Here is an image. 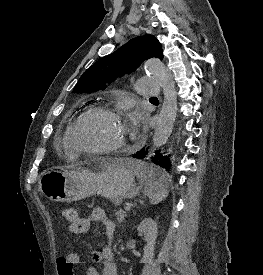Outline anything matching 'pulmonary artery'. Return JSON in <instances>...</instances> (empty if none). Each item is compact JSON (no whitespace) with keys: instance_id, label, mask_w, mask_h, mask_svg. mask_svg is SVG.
Instances as JSON below:
<instances>
[{"instance_id":"1","label":"pulmonary artery","mask_w":263,"mask_h":275,"mask_svg":"<svg viewBox=\"0 0 263 275\" xmlns=\"http://www.w3.org/2000/svg\"><path fill=\"white\" fill-rule=\"evenodd\" d=\"M158 84L149 77H142L136 83L137 93L144 96H154L158 94Z\"/></svg>"}]
</instances>
